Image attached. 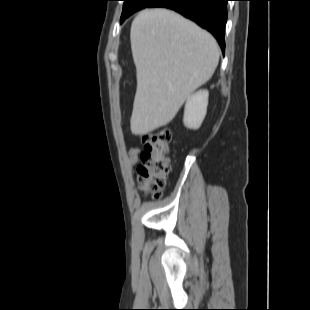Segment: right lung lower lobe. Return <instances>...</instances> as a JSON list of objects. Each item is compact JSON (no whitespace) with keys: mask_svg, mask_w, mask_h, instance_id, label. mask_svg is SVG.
<instances>
[{"mask_svg":"<svg viewBox=\"0 0 310 310\" xmlns=\"http://www.w3.org/2000/svg\"><path fill=\"white\" fill-rule=\"evenodd\" d=\"M229 0H156L148 7H165L182 14L208 30L225 51V25ZM126 19V18H125ZM121 20V23L125 20Z\"/></svg>","mask_w":310,"mask_h":310,"instance_id":"98d812e1","label":"right lung lower lobe"}]
</instances>
